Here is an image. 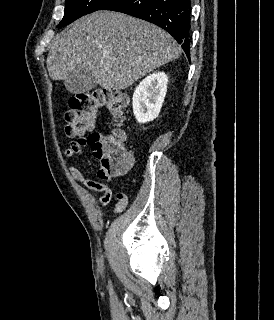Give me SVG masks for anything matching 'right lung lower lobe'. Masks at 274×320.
<instances>
[{"label":"right lung lower lobe","mask_w":274,"mask_h":320,"mask_svg":"<svg viewBox=\"0 0 274 320\" xmlns=\"http://www.w3.org/2000/svg\"><path fill=\"white\" fill-rule=\"evenodd\" d=\"M103 10L122 12L165 29L190 59V0H115Z\"/></svg>","instance_id":"obj_1"}]
</instances>
